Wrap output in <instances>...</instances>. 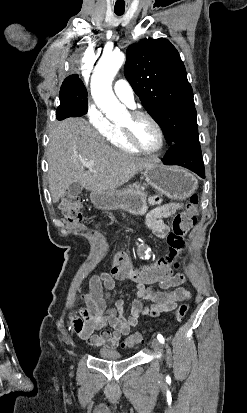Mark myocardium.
I'll use <instances>...</instances> for the list:
<instances>
[{
    "label": "myocardium",
    "mask_w": 247,
    "mask_h": 413,
    "mask_svg": "<svg viewBox=\"0 0 247 413\" xmlns=\"http://www.w3.org/2000/svg\"><path fill=\"white\" fill-rule=\"evenodd\" d=\"M146 119L148 120L151 125L156 128L160 134L161 137V142L160 145L153 150H149L146 149L145 147H143L136 135H135V130H134V126H126L124 128H122V132L124 134L125 139L127 140V142L136 150H138L139 152L148 155V156H158L160 155L164 149L166 148L167 145V136L166 133L164 131V129L162 128V126L159 124V122L148 112L146 111H133L130 115V120L133 123H136L138 120L140 119Z\"/></svg>",
    "instance_id": "f54148a6"
}]
</instances>
